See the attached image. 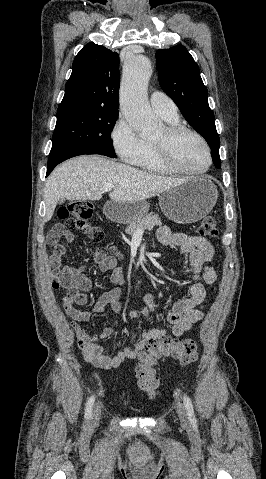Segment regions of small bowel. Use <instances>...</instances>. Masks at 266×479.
Instances as JSON below:
<instances>
[{"instance_id": "c3829d8e", "label": "small bowel", "mask_w": 266, "mask_h": 479, "mask_svg": "<svg viewBox=\"0 0 266 479\" xmlns=\"http://www.w3.org/2000/svg\"><path fill=\"white\" fill-rule=\"evenodd\" d=\"M68 243L75 241V235L65 230L61 235ZM157 237L164 246L179 247L182 254L188 256L190 266L182 269L184 275H191L192 284L189 296L172 303L167 309L166 320L169 327L144 329L141 334L131 332V341L124 349L114 355H108L100 346V341L110 337L114 329L105 328L100 333H89L82 323L91 320L94 314L101 313L110 307L116 314L117 322L123 315L121 300L125 293L122 286L125 284L124 272L116 267V259L107 255L103 249H96L92 262L97 264L101 271L110 272L109 281L118 287L103 293L97 300L92 311L81 310L78 307L88 303V291L91 287L89 277L84 273L88 264L79 268L61 264V257L55 261V277L53 284L57 288L66 290L62 298L63 309L71 321V326L76 336L77 344L87 362L98 368L111 369L120 366L125 360L135 359L149 341L166 337L170 332L174 336H182L203 318L202 305L206 298L204 284L212 285L217 279L215 270L209 265L214 249L204 237L173 232L168 226L158 229ZM144 306L130 313V318L142 316L148 319L155 310L153 296L145 293Z\"/></svg>"}]
</instances>
